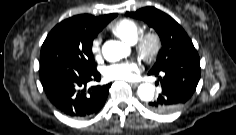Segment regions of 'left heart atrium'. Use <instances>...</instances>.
<instances>
[{
    "label": "left heart atrium",
    "mask_w": 236,
    "mask_h": 135,
    "mask_svg": "<svg viewBox=\"0 0 236 135\" xmlns=\"http://www.w3.org/2000/svg\"><path fill=\"white\" fill-rule=\"evenodd\" d=\"M139 64L135 61L116 63L108 66L105 75L109 79L128 80L133 74L139 71Z\"/></svg>",
    "instance_id": "left-heart-atrium-1"
}]
</instances>
